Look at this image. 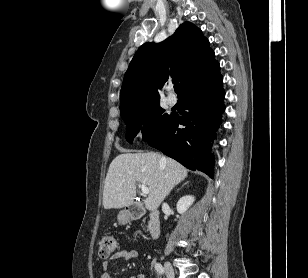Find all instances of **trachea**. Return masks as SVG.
<instances>
[{
	"mask_svg": "<svg viewBox=\"0 0 308 278\" xmlns=\"http://www.w3.org/2000/svg\"><path fill=\"white\" fill-rule=\"evenodd\" d=\"M174 90H175V92H176L178 95H180V94H181V86H180V84L174 85Z\"/></svg>",
	"mask_w": 308,
	"mask_h": 278,
	"instance_id": "1",
	"label": "trachea"
}]
</instances>
